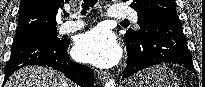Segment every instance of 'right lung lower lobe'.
Returning <instances> with one entry per match:
<instances>
[{"label":"right lung lower lobe","instance_id":"right-lung-lower-lobe-1","mask_svg":"<svg viewBox=\"0 0 205 87\" xmlns=\"http://www.w3.org/2000/svg\"><path fill=\"white\" fill-rule=\"evenodd\" d=\"M68 44V40L57 42L42 37L14 39L11 57L5 66L4 83L16 70L28 65H39L61 71L81 87H94L93 71L70 60Z\"/></svg>","mask_w":205,"mask_h":87}]
</instances>
